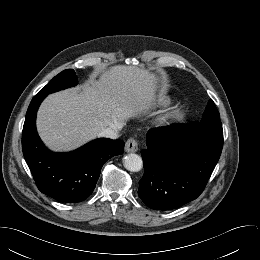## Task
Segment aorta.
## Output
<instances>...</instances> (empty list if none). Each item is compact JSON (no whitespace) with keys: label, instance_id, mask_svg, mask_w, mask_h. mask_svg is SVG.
<instances>
[{"label":"aorta","instance_id":"obj_1","mask_svg":"<svg viewBox=\"0 0 260 260\" xmlns=\"http://www.w3.org/2000/svg\"><path fill=\"white\" fill-rule=\"evenodd\" d=\"M123 165L128 171L138 172L143 167V160L139 155L130 153L123 158Z\"/></svg>","mask_w":260,"mask_h":260}]
</instances>
